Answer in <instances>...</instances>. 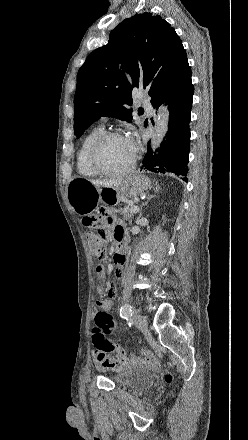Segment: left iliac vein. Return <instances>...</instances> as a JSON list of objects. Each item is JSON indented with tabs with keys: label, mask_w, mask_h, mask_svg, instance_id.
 <instances>
[{
	"label": "left iliac vein",
	"mask_w": 248,
	"mask_h": 440,
	"mask_svg": "<svg viewBox=\"0 0 248 440\" xmlns=\"http://www.w3.org/2000/svg\"><path fill=\"white\" fill-rule=\"evenodd\" d=\"M134 323L141 330L147 328V318L137 312L134 314Z\"/></svg>",
	"instance_id": "left-iliac-vein-1"
}]
</instances>
